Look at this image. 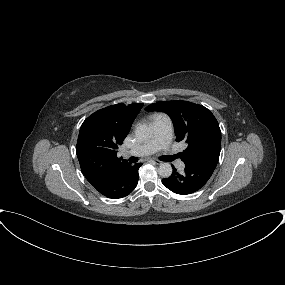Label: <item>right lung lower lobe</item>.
I'll use <instances>...</instances> for the list:
<instances>
[{"instance_id":"right-lung-lower-lobe-1","label":"right lung lower lobe","mask_w":285,"mask_h":285,"mask_svg":"<svg viewBox=\"0 0 285 285\" xmlns=\"http://www.w3.org/2000/svg\"><path fill=\"white\" fill-rule=\"evenodd\" d=\"M141 163L135 165H128L116 172H114L106 180L94 184L95 189L102 195L111 198L118 199L130 194L138 183V170L141 167Z\"/></svg>"}]
</instances>
